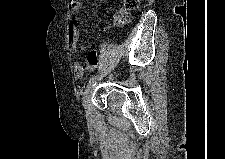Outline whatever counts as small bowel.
Listing matches in <instances>:
<instances>
[{"instance_id": "small-bowel-1", "label": "small bowel", "mask_w": 225, "mask_h": 159, "mask_svg": "<svg viewBox=\"0 0 225 159\" xmlns=\"http://www.w3.org/2000/svg\"><path fill=\"white\" fill-rule=\"evenodd\" d=\"M84 7L82 2H77L75 4H71L70 6V14L68 18L67 25V42L69 48L77 53H84L86 46H78L79 41V31L75 22V14L80 11ZM99 64L98 52L96 49L90 51L88 56V61L86 63L75 62L74 63V73L78 79H83L87 71H92Z\"/></svg>"}]
</instances>
